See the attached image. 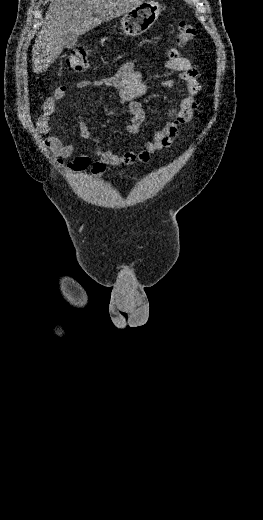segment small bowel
Returning a JSON list of instances; mask_svg holds the SVG:
<instances>
[{
  "label": "small bowel",
  "mask_w": 263,
  "mask_h": 520,
  "mask_svg": "<svg viewBox=\"0 0 263 520\" xmlns=\"http://www.w3.org/2000/svg\"><path fill=\"white\" fill-rule=\"evenodd\" d=\"M167 57L165 67L170 71L179 73L186 94L180 96L178 105L169 110L168 122L154 133L151 141L147 142L137 152H115L105 149L97 151L95 161H92L90 156L81 154L65 162V159L73 155L74 146L71 143H64L57 136H50L49 143L57 163L70 172L85 178L87 176L85 172L88 169H90L91 176H99L107 166L132 165L136 162L147 163L153 154L171 147L178 137L180 126L190 122L197 111L199 105L197 96L201 90V85L198 80V71L187 57L175 48L168 51ZM136 62L137 59L125 62L113 76L92 81L80 80L76 85L78 89L101 86L115 89L120 101L128 104L131 117L126 129L131 134H137L145 120V110L140 99L147 92L143 76L136 70ZM163 86L172 88L174 80H164ZM67 92L66 86H60L52 96L45 100L43 113L37 121L38 129L41 132L48 133L50 131L52 116L56 111V103L64 99ZM80 138L83 141L92 140L85 123H82Z\"/></svg>",
  "instance_id": "1"
}]
</instances>
